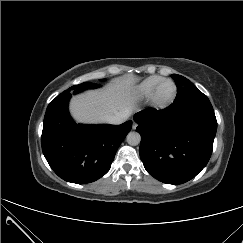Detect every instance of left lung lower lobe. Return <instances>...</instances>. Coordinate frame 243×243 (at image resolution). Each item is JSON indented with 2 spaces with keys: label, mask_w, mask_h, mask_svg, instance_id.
Wrapping results in <instances>:
<instances>
[{
  "label": "left lung lower lobe",
  "mask_w": 243,
  "mask_h": 243,
  "mask_svg": "<svg viewBox=\"0 0 243 243\" xmlns=\"http://www.w3.org/2000/svg\"><path fill=\"white\" fill-rule=\"evenodd\" d=\"M188 88L179 89L163 110H145L134 116L141 135L140 158L146 171L167 184H182L207 165L217 130L215 114L186 110Z\"/></svg>",
  "instance_id": "obj_1"
}]
</instances>
